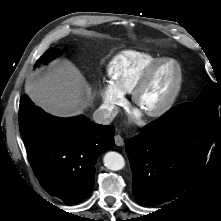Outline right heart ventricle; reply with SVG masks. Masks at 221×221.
<instances>
[{
	"mask_svg": "<svg viewBox=\"0 0 221 221\" xmlns=\"http://www.w3.org/2000/svg\"><path fill=\"white\" fill-rule=\"evenodd\" d=\"M158 59L141 51L129 50L118 54L108 65L111 84L123 94L131 93L146 70Z\"/></svg>",
	"mask_w": 221,
	"mask_h": 221,
	"instance_id": "e07e8e85",
	"label": "right heart ventricle"
}]
</instances>
